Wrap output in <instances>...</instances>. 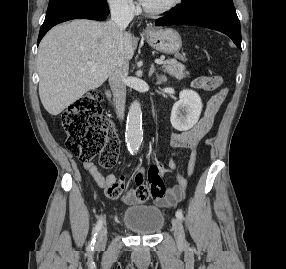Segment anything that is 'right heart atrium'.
Returning a JSON list of instances; mask_svg holds the SVG:
<instances>
[{"label":"right heart atrium","mask_w":286,"mask_h":269,"mask_svg":"<svg viewBox=\"0 0 286 269\" xmlns=\"http://www.w3.org/2000/svg\"><path fill=\"white\" fill-rule=\"evenodd\" d=\"M109 6L122 14L132 15L136 12V4L134 0H107Z\"/></svg>","instance_id":"obj_1"}]
</instances>
